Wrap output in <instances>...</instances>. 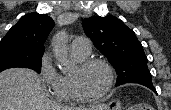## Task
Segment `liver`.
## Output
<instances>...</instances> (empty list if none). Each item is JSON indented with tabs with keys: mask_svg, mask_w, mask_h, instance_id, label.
Segmentation results:
<instances>
[{
	"mask_svg": "<svg viewBox=\"0 0 171 110\" xmlns=\"http://www.w3.org/2000/svg\"><path fill=\"white\" fill-rule=\"evenodd\" d=\"M0 110H89L55 104L47 98L39 75L25 68L0 73Z\"/></svg>",
	"mask_w": 171,
	"mask_h": 110,
	"instance_id": "liver-1",
	"label": "liver"
}]
</instances>
